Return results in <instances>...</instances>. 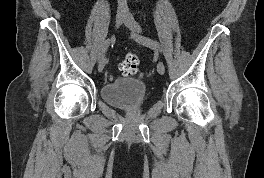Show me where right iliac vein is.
Instances as JSON below:
<instances>
[{
    "label": "right iliac vein",
    "mask_w": 264,
    "mask_h": 178,
    "mask_svg": "<svg viewBox=\"0 0 264 178\" xmlns=\"http://www.w3.org/2000/svg\"><path fill=\"white\" fill-rule=\"evenodd\" d=\"M127 19V16L124 13H118L116 16V27L118 28L119 26L122 25L123 22ZM106 64V60L103 59L102 61L99 62L98 65V71L101 72Z\"/></svg>",
    "instance_id": "63e3f726"
}]
</instances>
